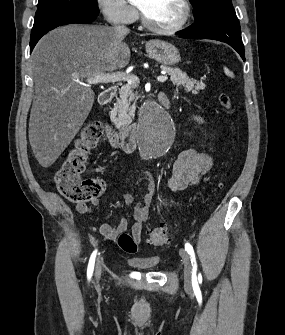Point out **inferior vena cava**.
I'll use <instances>...</instances> for the list:
<instances>
[{
	"label": "inferior vena cava",
	"instance_id": "1",
	"mask_svg": "<svg viewBox=\"0 0 285 335\" xmlns=\"http://www.w3.org/2000/svg\"><path fill=\"white\" fill-rule=\"evenodd\" d=\"M115 30H117L118 34H125V36H127L129 30L128 28H126V26H115Z\"/></svg>",
	"mask_w": 285,
	"mask_h": 335
}]
</instances>
